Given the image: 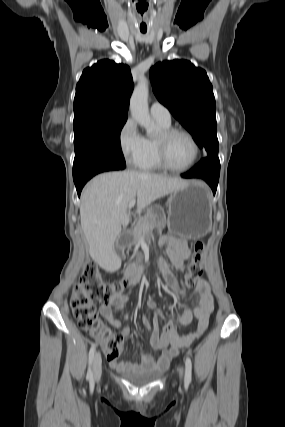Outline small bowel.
Masks as SVG:
<instances>
[{"instance_id": "obj_1", "label": "small bowel", "mask_w": 285, "mask_h": 427, "mask_svg": "<svg viewBox=\"0 0 285 427\" xmlns=\"http://www.w3.org/2000/svg\"><path fill=\"white\" fill-rule=\"evenodd\" d=\"M160 244L165 245L168 257L172 265L179 269L184 270L186 265L185 261L190 257L191 250L187 242L181 238L165 235L161 237ZM160 270L164 279L169 287L175 292L184 296L185 290L180 287L174 274L168 268L163 260H159ZM143 264H132L127 270L125 277L128 286L136 285L143 274ZM194 295L196 300V307L193 310L185 309L178 317V322L181 325H189L193 318L196 319V329L187 334H179L176 330L175 323L169 320L163 329L159 327V320L164 317L163 313L156 309L154 300H148L146 306L154 309V321L152 329L145 314H142L143 325L150 330V345L155 351H159L160 355H154L141 352L138 356L137 362L132 361H119L116 359H109L112 366L128 371H152V370H165L168 368L172 358L178 353L180 348L189 347L195 339L203 334L209 325L210 316L214 310L213 299L210 293V288L205 280H200L194 288ZM128 301V296L124 293L113 294L108 304L100 305V312L102 316L115 328L119 329L122 338L129 337L131 330L128 326L123 324V320L116 319L112 315L110 305H113L117 311H123L124 306ZM123 319H127V315H123Z\"/></svg>"}]
</instances>
